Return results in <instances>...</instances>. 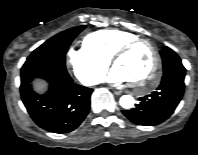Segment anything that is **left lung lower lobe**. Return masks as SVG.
<instances>
[{
  "instance_id": "obj_1",
  "label": "left lung lower lobe",
  "mask_w": 198,
  "mask_h": 155,
  "mask_svg": "<svg viewBox=\"0 0 198 155\" xmlns=\"http://www.w3.org/2000/svg\"><path fill=\"white\" fill-rule=\"evenodd\" d=\"M185 68H176L162 77L161 84L152 94L139 98V103L123 114L137 125H157L168 119L184 93ZM149 114V116H146Z\"/></svg>"
}]
</instances>
